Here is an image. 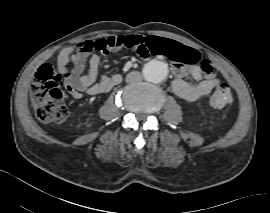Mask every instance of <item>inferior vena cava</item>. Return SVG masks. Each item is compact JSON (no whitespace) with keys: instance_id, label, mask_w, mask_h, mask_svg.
Masks as SVG:
<instances>
[{"instance_id":"602c4592","label":"inferior vena cava","mask_w":270,"mask_h":213,"mask_svg":"<svg viewBox=\"0 0 270 213\" xmlns=\"http://www.w3.org/2000/svg\"><path fill=\"white\" fill-rule=\"evenodd\" d=\"M141 80H142V75H141V73H139L137 71L130 72L126 76V81L129 83L139 82Z\"/></svg>"}]
</instances>
